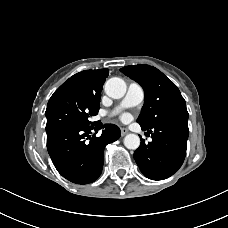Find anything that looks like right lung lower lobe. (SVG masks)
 Here are the masks:
<instances>
[{
	"label": "right lung lower lobe",
	"instance_id": "right-lung-lower-lobe-1",
	"mask_svg": "<svg viewBox=\"0 0 228 228\" xmlns=\"http://www.w3.org/2000/svg\"><path fill=\"white\" fill-rule=\"evenodd\" d=\"M103 128L102 135L95 137ZM120 137V129L114 124L71 125L47 134V149L57 171L76 184L94 182L101 174L104 148Z\"/></svg>",
	"mask_w": 228,
	"mask_h": 228
}]
</instances>
